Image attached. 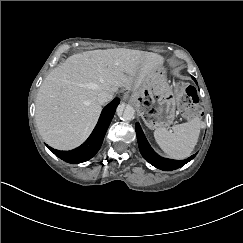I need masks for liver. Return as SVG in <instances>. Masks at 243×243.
<instances>
[{
  "instance_id": "6515ba94",
  "label": "liver",
  "mask_w": 243,
  "mask_h": 243,
  "mask_svg": "<svg viewBox=\"0 0 243 243\" xmlns=\"http://www.w3.org/2000/svg\"><path fill=\"white\" fill-rule=\"evenodd\" d=\"M162 64L155 54L123 48L77 54L52 70L39 88L35 120L42 138L57 149H71L90 134L102 90L140 89Z\"/></svg>"
}]
</instances>
